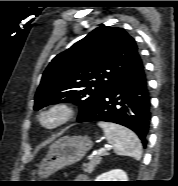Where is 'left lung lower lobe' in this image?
<instances>
[{
  "mask_svg": "<svg viewBox=\"0 0 178 186\" xmlns=\"http://www.w3.org/2000/svg\"><path fill=\"white\" fill-rule=\"evenodd\" d=\"M150 97L143 63L119 77L100 103L78 117V122L105 121L134 131L143 145L150 126Z\"/></svg>",
  "mask_w": 178,
  "mask_h": 186,
  "instance_id": "obj_1",
  "label": "left lung lower lobe"
}]
</instances>
